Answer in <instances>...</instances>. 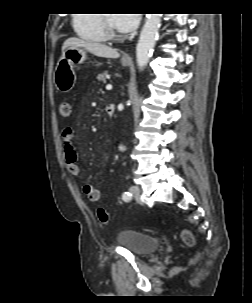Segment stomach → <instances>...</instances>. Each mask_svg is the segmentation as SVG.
Instances as JSON below:
<instances>
[{"mask_svg":"<svg viewBox=\"0 0 252 303\" xmlns=\"http://www.w3.org/2000/svg\"><path fill=\"white\" fill-rule=\"evenodd\" d=\"M87 58L86 51L78 46H69L62 53L54 73V83L62 93L69 92L76 83L74 67L83 63ZM123 66H128L129 61L122 60Z\"/></svg>","mask_w":252,"mask_h":303,"instance_id":"1","label":"stomach"}]
</instances>
